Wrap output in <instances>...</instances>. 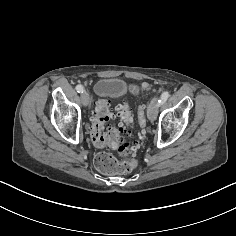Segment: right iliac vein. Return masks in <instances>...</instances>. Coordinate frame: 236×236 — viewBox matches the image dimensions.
<instances>
[{
    "mask_svg": "<svg viewBox=\"0 0 236 236\" xmlns=\"http://www.w3.org/2000/svg\"><path fill=\"white\" fill-rule=\"evenodd\" d=\"M81 102L84 106H88L89 102H90V97L89 94L87 92H83L81 94Z\"/></svg>",
    "mask_w": 236,
    "mask_h": 236,
    "instance_id": "right-iliac-vein-1",
    "label": "right iliac vein"
}]
</instances>
